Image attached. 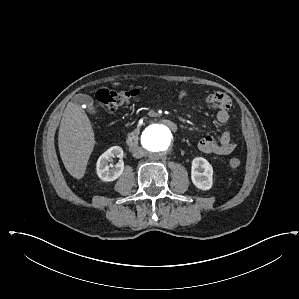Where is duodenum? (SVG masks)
I'll return each mask as SVG.
<instances>
[{
	"label": "duodenum",
	"mask_w": 299,
	"mask_h": 299,
	"mask_svg": "<svg viewBox=\"0 0 299 299\" xmlns=\"http://www.w3.org/2000/svg\"><path fill=\"white\" fill-rule=\"evenodd\" d=\"M162 122L172 131H177L178 126L177 124L169 119H162ZM141 126H137L132 132L128 135L126 139V145L128 147H133L137 144L139 133H140Z\"/></svg>",
	"instance_id": "obj_1"
}]
</instances>
